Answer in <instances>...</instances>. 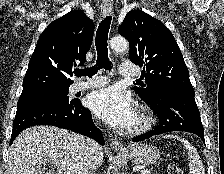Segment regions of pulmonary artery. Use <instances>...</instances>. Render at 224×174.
I'll use <instances>...</instances> for the list:
<instances>
[{"label": "pulmonary artery", "mask_w": 224, "mask_h": 174, "mask_svg": "<svg viewBox=\"0 0 224 174\" xmlns=\"http://www.w3.org/2000/svg\"><path fill=\"white\" fill-rule=\"evenodd\" d=\"M119 73L123 77L139 75V68L131 62H124L120 65ZM105 77H93L90 80L77 82L73 85V91H81L88 88L99 87L106 83Z\"/></svg>", "instance_id": "1"}]
</instances>
